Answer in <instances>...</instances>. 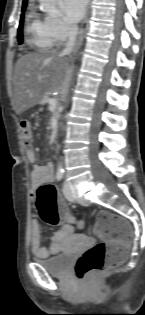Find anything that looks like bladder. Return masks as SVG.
<instances>
[{"label": "bladder", "instance_id": "1", "mask_svg": "<svg viewBox=\"0 0 145 315\" xmlns=\"http://www.w3.org/2000/svg\"><path fill=\"white\" fill-rule=\"evenodd\" d=\"M85 249V248H73ZM74 256H65V251L45 260H39L44 269L53 276L65 275L73 264Z\"/></svg>", "mask_w": 145, "mask_h": 315}]
</instances>
